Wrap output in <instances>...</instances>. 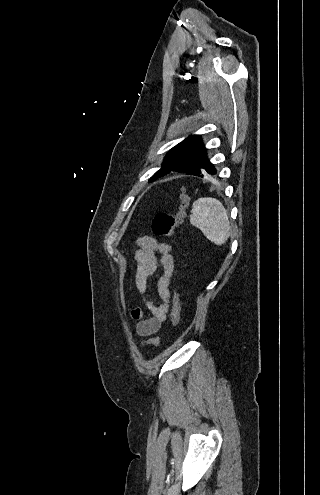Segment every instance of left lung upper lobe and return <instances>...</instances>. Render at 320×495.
<instances>
[{
  "label": "left lung upper lobe",
  "mask_w": 320,
  "mask_h": 495,
  "mask_svg": "<svg viewBox=\"0 0 320 495\" xmlns=\"http://www.w3.org/2000/svg\"><path fill=\"white\" fill-rule=\"evenodd\" d=\"M207 156V151L199 135H191L173 147L165 156L161 169L150 181H155L170 172H187L200 164Z\"/></svg>",
  "instance_id": "5c2ea615"
}]
</instances>
